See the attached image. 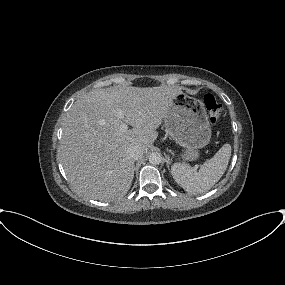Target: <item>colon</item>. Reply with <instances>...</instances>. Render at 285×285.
I'll list each match as a JSON object with an SVG mask.
<instances>
[{"label": "colon", "instance_id": "colon-1", "mask_svg": "<svg viewBox=\"0 0 285 285\" xmlns=\"http://www.w3.org/2000/svg\"><path fill=\"white\" fill-rule=\"evenodd\" d=\"M203 104L208 112V118L211 125H216L222 113V106L212 94H206L203 98Z\"/></svg>", "mask_w": 285, "mask_h": 285}]
</instances>
